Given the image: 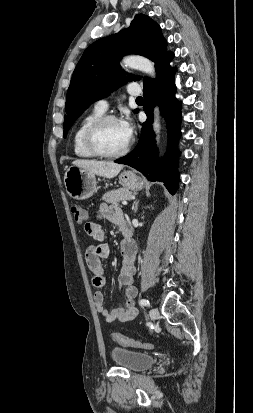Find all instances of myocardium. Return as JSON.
<instances>
[{
    "instance_id": "1",
    "label": "myocardium",
    "mask_w": 253,
    "mask_h": 413,
    "mask_svg": "<svg viewBox=\"0 0 253 413\" xmlns=\"http://www.w3.org/2000/svg\"><path fill=\"white\" fill-rule=\"evenodd\" d=\"M110 121H117L114 115H102L89 124L84 132V144L86 148L95 156L102 158H117L125 155L131 147V140H128L126 145L117 152H105L97 143V134L103 125Z\"/></svg>"
}]
</instances>
